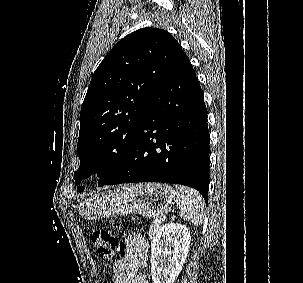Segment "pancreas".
Instances as JSON below:
<instances>
[{"label": "pancreas", "instance_id": "cf45deb5", "mask_svg": "<svg viewBox=\"0 0 303 283\" xmlns=\"http://www.w3.org/2000/svg\"><path fill=\"white\" fill-rule=\"evenodd\" d=\"M160 226L158 223L153 222L149 227V236L150 238H154V236L159 232Z\"/></svg>", "mask_w": 303, "mask_h": 283}]
</instances>
